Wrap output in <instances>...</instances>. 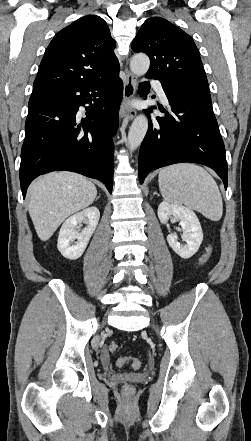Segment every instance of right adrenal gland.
<instances>
[{
  "label": "right adrenal gland",
  "mask_w": 251,
  "mask_h": 441,
  "mask_svg": "<svg viewBox=\"0 0 251 441\" xmlns=\"http://www.w3.org/2000/svg\"><path fill=\"white\" fill-rule=\"evenodd\" d=\"M100 198V195L96 198V200H98Z\"/></svg>",
  "instance_id": "1"
}]
</instances>
